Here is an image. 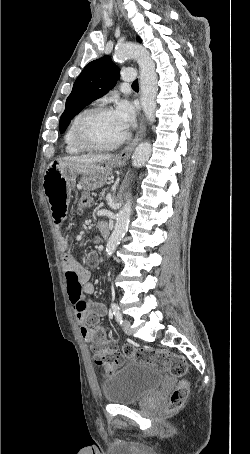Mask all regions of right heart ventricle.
<instances>
[{"instance_id": "e07e8e85", "label": "right heart ventricle", "mask_w": 250, "mask_h": 454, "mask_svg": "<svg viewBox=\"0 0 250 454\" xmlns=\"http://www.w3.org/2000/svg\"><path fill=\"white\" fill-rule=\"evenodd\" d=\"M85 111L79 112L70 122L65 135H64V143H65V149L66 152L69 154H79L84 152L85 150L80 148L74 141L73 138V132H74V127L76 125V122L78 121L79 117L84 113Z\"/></svg>"}]
</instances>
